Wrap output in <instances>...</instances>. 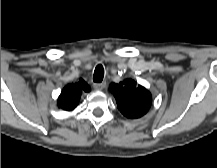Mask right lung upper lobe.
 Listing matches in <instances>:
<instances>
[{
  "label": "right lung upper lobe",
  "mask_w": 217,
  "mask_h": 168,
  "mask_svg": "<svg viewBox=\"0 0 217 168\" xmlns=\"http://www.w3.org/2000/svg\"><path fill=\"white\" fill-rule=\"evenodd\" d=\"M88 91L89 86L82 79L77 83L68 84L58 98V106L63 110L71 111L77 106L82 92Z\"/></svg>",
  "instance_id": "cb5924a9"
}]
</instances>
